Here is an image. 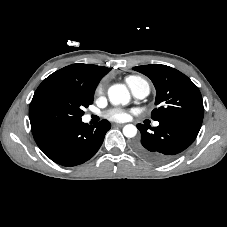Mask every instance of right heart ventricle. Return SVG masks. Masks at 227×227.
Returning <instances> with one entry per match:
<instances>
[{
    "instance_id": "e07e8e85",
    "label": "right heart ventricle",
    "mask_w": 227,
    "mask_h": 227,
    "mask_svg": "<svg viewBox=\"0 0 227 227\" xmlns=\"http://www.w3.org/2000/svg\"><path fill=\"white\" fill-rule=\"evenodd\" d=\"M125 81L128 84V86H131V85L138 83V82H145L141 77L133 76V75L126 77Z\"/></svg>"
}]
</instances>
